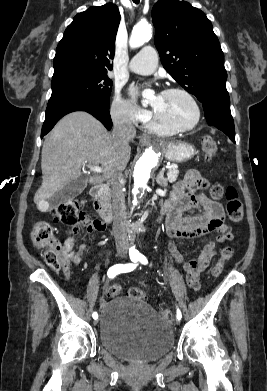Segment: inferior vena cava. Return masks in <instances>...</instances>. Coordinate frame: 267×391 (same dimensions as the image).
Returning <instances> with one entry per match:
<instances>
[{"instance_id":"1","label":"inferior vena cava","mask_w":267,"mask_h":391,"mask_svg":"<svg viewBox=\"0 0 267 391\" xmlns=\"http://www.w3.org/2000/svg\"><path fill=\"white\" fill-rule=\"evenodd\" d=\"M136 136V129L131 120L126 116H116L113 118L114 146L122 149L129 148V141ZM123 174L120 171L114 172L110 178L112 190L113 209V232L118 252H126L128 249L126 230V206L123 192Z\"/></svg>"}]
</instances>
